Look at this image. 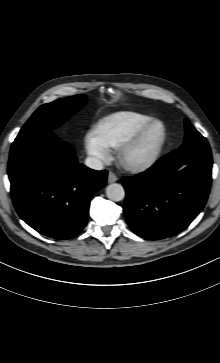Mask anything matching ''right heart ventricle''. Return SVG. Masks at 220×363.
Segmentation results:
<instances>
[{
	"instance_id": "e07e8e85",
	"label": "right heart ventricle",
	"mask_w": 220,
	"mask_h": 363,
	"mask_svg": "<svg viewBox=\"0 0 220 363\" xmlns=\"http://www.w3.org/2000/svg\"><path fill=\"white\" fill-rule=\"evenodd\" d=\"M153 121L149 115L120 111L103 118L96 127L99 137L110 148H118L140 128Z\"/></svg>"
}]
</instances>
